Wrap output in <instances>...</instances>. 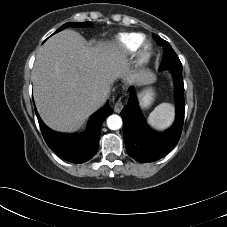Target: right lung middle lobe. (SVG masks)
Listing matches in <instances>:
<instances>
[{
    "label": "right lung middle lobe",
    "instance_id": "dd1d6c3e",
    "mask_svg": "<svg viewBox=\"0 0 227 227\" xmlns=\"http://www.w3.org/2000/svg\"><path fill=\"white\" fill-rule=\"evenodd\" d=\"M89 24H91V23L90 22H81V23L69 22V23L64 24L62 27H60L56 32L62 31L67 27H85V26H88Z\"/></svg>",
    "mask_w": 227,
    "mask_h": 227
}]
</instances>
